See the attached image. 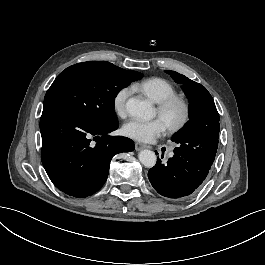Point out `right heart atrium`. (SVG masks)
<instances>
[{
	"instance_id": "right-heart-atrium-1",
	"label": "right heart atrium",
	"mask_w": 265,
	"mask_h": 265,
	"mask_svg": "<svg viewBox=\"0 0 265 265\" xmlns=\"http://www.w3.org/2000/svg\"><path fill=\"white\" fill-rule=\"evenodd\" d=\"M130 91L127 88H122L115 102V113L120 119H125L128 116L127 109L129 105L127 104V100L129 99Z\"/></svg>"
}]
</instances>
